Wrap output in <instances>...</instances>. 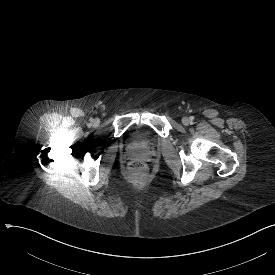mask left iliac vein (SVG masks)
<instances>
[{
    "label": "left iliac vein",
    "mask_w": 275,
    "mask_h": 275,
    "mask_svg": "<svg viewBox=\"0 0 275 275\" xmlns=\"http://www.w3.org/2000/svg\"><path fill=\"white\" fill-rule=\"evenodd\" d=\"M182 123H183L184 125H188V124L190 123V121H189V119H188L187 117H183Z\"/></svg>",
    "instance_id": "left-iliac-vein-1"
}]
</instances>
